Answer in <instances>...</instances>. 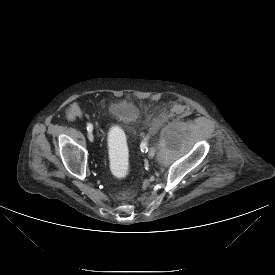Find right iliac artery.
I'll return each mask as SVG.
<instances>
[{"mask_svg": "<svg viewBox=\"0 0 275 275\" xmlns=\"http://www.w3.org/2000/svg\"><path fill=\"white\" fill-rule=\"evenodd\" d=\"M87 130L88 132H92L93 130V126L90 123L87 124Z\"/></svg>", "mask_w": 275, "mask_h": 275, "instance_id": "1", "label": "right iliac artery"}]
</instances>
